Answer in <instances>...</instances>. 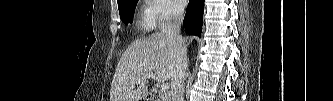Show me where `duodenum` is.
Listing matches in <instances>:
<instances>
[{"instance_id":"duodenum-1","label":"duodenum","mask_w":333,"mask_h":101,"mask_svg":"<svg viewBox=\"0 0 333 101\" xmlns=\"http://www.w3.org/2000/svg\"><path fill=\"white\" fill-rule=\"evenodd\" d=\"M147 98H148L149 100H153V99H154L153 96H148Z\"/></svg>"}]
</instances>
